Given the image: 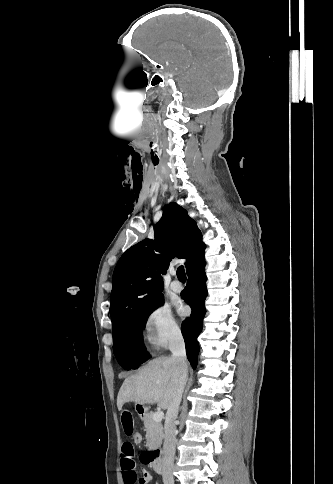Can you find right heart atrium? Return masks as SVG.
<instances>
[{
  "label": "right heart atrium",
  "instance_id": "d8ad5b80",
  "mask_svg": "<svg viewBox=\"0 0 333 484\" xmlns=\"http://www.w3.org/2000/svg\"><path fill=\"white\" fill-rule=\"evenodd\" d=\"M146 338L155 348H164L180 336V327L168 304L153 307L145 318Z\"/></svg>",
  "mask_w": 333,
  "mask_h": 484
}]
</instances>
